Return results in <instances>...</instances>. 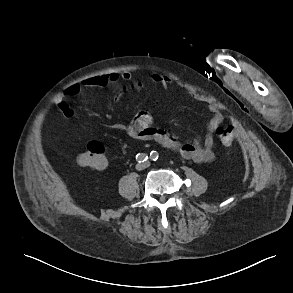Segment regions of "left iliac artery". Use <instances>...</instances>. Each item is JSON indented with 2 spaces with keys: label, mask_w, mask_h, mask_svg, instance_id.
I'll return each instance as SVG.
<instances>
[{
  "label": "left iliac artery",
  "mask_w": 293,
  "mask_h": 293,
  "mask_svg": "<svg viewBox=\"0 0 293 293\" xmlns=\"http://www.w3.org/2000/svg\"><path fill=\"white\" fill-rule=\"evenodd\" d=\"M158 157H159V154H158L157 151H154V150L151 151V153H150V159L151 160L156 161L158 159Z\"/></svg>",
  "instance_id": "left-iliac-artery-1"
}]
</instances>
